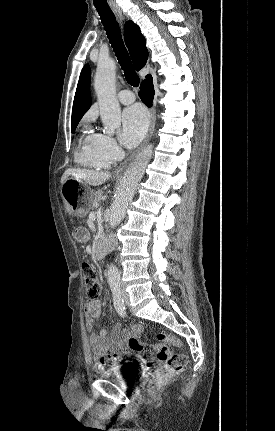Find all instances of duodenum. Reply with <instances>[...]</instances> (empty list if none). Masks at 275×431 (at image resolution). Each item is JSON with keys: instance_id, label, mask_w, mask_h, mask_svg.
Instances as JSON below:
<instances>
[{"instance_id": "1", "label": "duodenum", "mask_w": 275, "mask_h": 431, "mask_svg": "<svg viewBox=\"0 0 275 431\" xmlns=\"http://www.w3.org/2000/svg\"><path fill=\"white\" fill-rule=\"evenodd\" d=\"M114 247V244L107 238H102L97 242L95 248V257L100 260Z\"/></svg>"}]
</instances>
